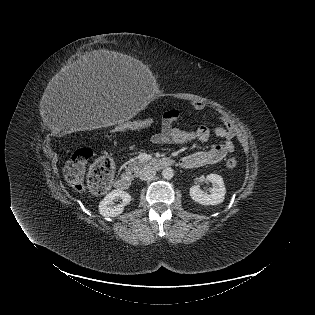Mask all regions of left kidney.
Here are the masks:
<instances>
[{"mask_svg": "<svg viewBox=\"0 0 315 315\" xmlns=\"http://www.w3.org/2000/svg\"><path fill=\"white\" fill-rule=\"evenodd\" d=\"M206 179L212 183L210 193L200 189L199 186L194 185L190 188L191 198L202 205H217L224 201L226 188L223 178L217 174H209Z\"/></svg>", "mask_w": 315, "mask_h": 315, "instance_id": "obj_1", "label": "left kidney"}]
</instances>
